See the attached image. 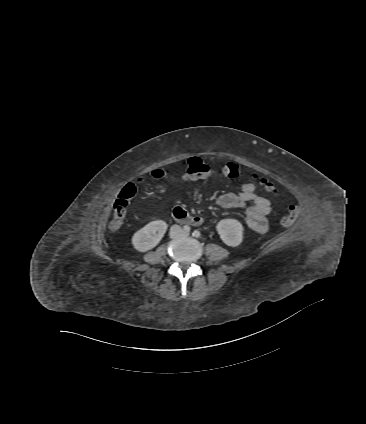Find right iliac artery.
Masks as SVG:
<instances>
[{
    "instance_id": "82829eb1",
    "label": "right iliac artery",
    "mask_w": 366,
    "mask_h": 424,
    "mask_svg": "<svg viewBox=\"0 0 366 424\" xmlns=\"http://www.w3.org/2000/svg\"><path fill=\"white\" fill-rule=\"evenodd\" d=\"M183 230H184L185 232H189V231H190V227H189L188 225H185V226L183 227Z\"/></svg>"
}]
</instances>
